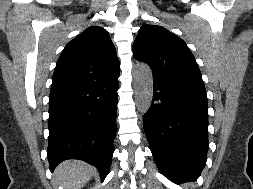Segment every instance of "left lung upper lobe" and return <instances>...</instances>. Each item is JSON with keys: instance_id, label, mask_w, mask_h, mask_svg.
<instances>
[{"instance_id": "5c2ea615", "label": "left lung upper lobe", "mask_w": 253, "mask_h": 189, "mask_svg": "<svg viewBox=\"0 0 253 189\" xmlns=\"http://www.w3.org/2000/svg\"><path fill=\"white\" fill-rule=\"evenodd\" d=\"M137 61L153 71V81L183 88L206 97V90L195 57L186 43L157 25L144 24L133 43Z\"/></svg>"}]
</instances>
